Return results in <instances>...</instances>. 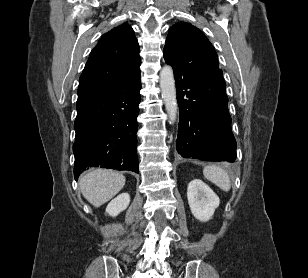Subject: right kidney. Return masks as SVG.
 Returning a JSON list of instances; mask_svg holds the SVG:
<instances>
[{
  "mask_svg": "<svg viewBox=\"0 0 308 278\" xmlns=\"http://www.w3.org/2000/svg\"><path fill=\"white\" fill-rule=\"evenodd\" d=\"M130 203V196L128 193H122L114 198L106 207V213L110 216L115 217L120 212L125 210Z\"/></svg>",
  "mask_w": 308,
  "mask_h": 278,
  "instance_id": "obj_1",
  "label": "right kidney"
}]
</instances>
